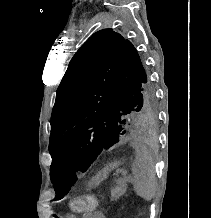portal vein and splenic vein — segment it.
<instances>
[{
    "label": "portal vein and splenic vein",
    "mask_w": 211,
    "mask_h": 218,
    "mask_svg": "<svg viewBox=\"0 0 211 218\" xmlns=\"http://www.w3.org/2000/svg\"><path fill=\"white\" fill-rule=\"evenodd\" d=\"M122 174H123V176L125 178V176H127L128 172L127 171L126 172H122Z\"/></svg>",
    "instance_id": "obj_1"
}]
</instances>
